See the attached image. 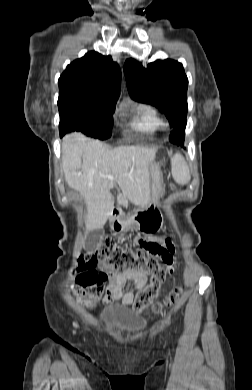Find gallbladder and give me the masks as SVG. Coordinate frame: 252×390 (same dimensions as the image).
I'll use <instances>...</instances> for the list:
<instances>
[{
  "mask_svg": "<svg viewBox=\"0 0 252 390\" xmlns=\"http://www.w3.org/2000/svg\"><path fill=\"white\" fill-rule=\"evenodd\" d=\"M101 231V229H95L90 231L88 234L89 239H95L101 233Z\"/></svg>",
  "mask_w": 252,
  "mask_h": 390,
  "instance_id": "gallbladder-1",
  "label": "gallbladder"
}]
</instances>
